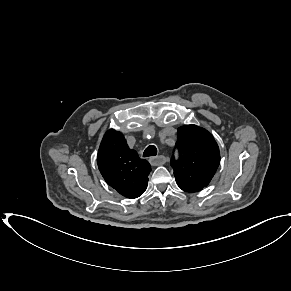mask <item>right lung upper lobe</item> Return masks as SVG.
Here are the masks:
<instances>
[{
	"label": "right lung upper lobe",
	"mask_w": 291,
	"mask_h": 291,
	"mask_svg": "<svg viewBox=\"0 0 291 291\" xmlns=\"http://www.w3.org/2000/svg\"><path fill=\"white\" fill-rule=\"evenodd\" d=\"M97 164L107 184L121 195L133 199L146 190L151 166L128 147L121 132L110 129L105 133Z\"/></svg>",
	"instance_id": "cb5924a9"
}]
</instances>
